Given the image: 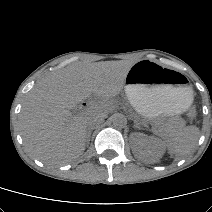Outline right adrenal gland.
Wrapping results in <instances>:
<instances>
[{"label":"right adrenal gland","mask_w":212,"mask_h":212,"mask_svg":"<svg viewBox=\"0 0 212 212\" xmlns=\"http://www.w3.org/2000/svg\"><path fill=\"white\" fill-rule=\"evenodd\" d=\"M91 133H92V129H88L87 135H86V142H87V144H89Z\"/></svg>","instance_id":"obj_1"}]
</instances>
